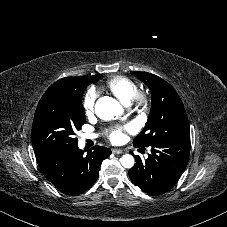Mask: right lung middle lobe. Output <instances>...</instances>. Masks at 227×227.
Wrapping results in <instances>:
<instances>
[{
  "label": "right lung middle lobe",
  "instance_id": "1",
  "mask_svg": "<svg viewBox=\"0 0 227 227\" xmlns=\"http://www.w3.org/2000/svg\"><path fill=\"white\" fill-rule=\"evenodd\" d=\"M98 77L84 76L82 83L70 90L45 92L37 106L32 125L35 156L78 143L74 137L75 131L86 123L81 102L83 91Z\"/></svg>",
  "mask_w": 227,
  "mask_h": 227
}]
</instances>
